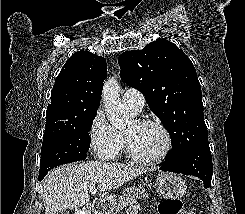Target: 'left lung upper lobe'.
Listing matches in <instances>:
<instances>
[{"mask_svg": "<svg viewBox=\"0 0 245 214\" xmlns=\"http://www.w3.org/2000/svg\"><path fill=\"white\" fill-rule=\"evenodd\" d=\"M118 63L122 79L143 93L168 130L172 150L166 158L208 144L201 86L183 50L166 39H158L142 50L122 53Z\"/></svg>", "mask_w": 245, "mask_h": 214, "instance_id": "1", "label": "left lung upper lobe"}]
</instances>
